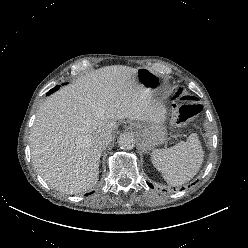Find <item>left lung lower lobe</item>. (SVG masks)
Returning <instances> with one entry per match:
<instances>
[{
	"label": "left lung lower lobe",
	"instance_id": "obj_1",
	"mask_svg": "<svg viewBox=\"0 0 248 248\" xmlns=\"http://www.w3.org/2000/svg\"><path fill=\"white\" fill-rule=\"evenodd\" d=\"M148 185L153 188V186L151 184L148 183Z\"/></svg>",
	"mask_w": 248,
	"mask_h": 248
}]
</instances>
